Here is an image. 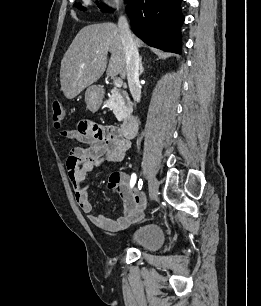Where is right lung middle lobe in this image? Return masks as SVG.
I'll return each mask as SVG.
<instances>
[{"mask_svg":"<svg viewBox=\"0 0 261 306\" xmlns=\"http://www.w3.org/2000/svg\"><path fill=\"white\" fill-rule=\"evenodd\" d=\"M130 0H125V3H128ZM75 6L81 10H86V8L82 7L80 3L75 4ZM98 7L102 10V12H112L113 9L107 7L104 4H99Z\"/></svg>","mask_w":261,"mask_h":306,"instance_id":"dd1d6c3e","label":"right lung middle lobe"}]
</instances>
